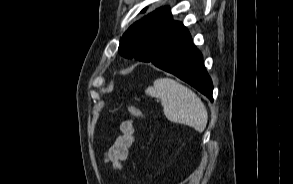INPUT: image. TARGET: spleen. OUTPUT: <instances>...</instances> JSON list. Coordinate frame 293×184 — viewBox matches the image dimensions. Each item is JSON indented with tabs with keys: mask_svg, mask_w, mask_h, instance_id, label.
Returning <instances> with one entry per match:
<instances>
[{
	"mask_svg": "<svg viewBox=\"0 0 293 184\" xmlns=\"http://www.w3.org/2000/svg\"><path fill=\"white\" fill-rule=\"evenodd\" d=\"M145 93L160 99L167 119L193 127L203 132L208 121V113L201 99L188 87L171 78L156 79Z\"/></svg>",
	"mask_w": 293,
	"mask_h": 184,
	"instance_id": "3e777b00",
	"label": "spleen"
}]
</instances>
